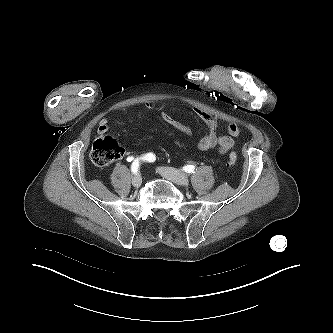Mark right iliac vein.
<instances>
[{"mask_svg":"<svg viewBox=\"0 0 333 333\" xmlns=\"http://www.w3.org/2000/svg\"><path fill=\"white\" fill-rule=\"evenodd\" d=\"M132 184L134 187H137V188L140 187L142 184V177L139 174L135 175L132 178Z\"/></svg>","mask_w":333,"mask_h":333,"instance_id":"63e3f726","label":"right iliac vein"}]
</instances>
